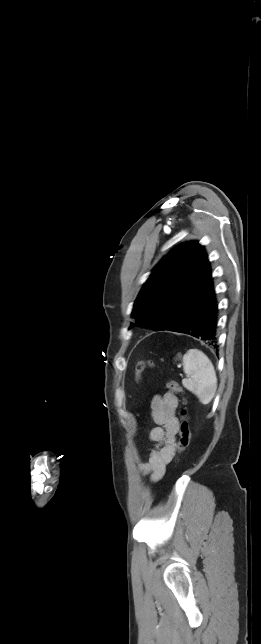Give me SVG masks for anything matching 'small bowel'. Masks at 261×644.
I'll return each instance as SVG.
<instances>
[{"label": "small bowel", "mask_w": 261, "mask_h": 644, "mask_svg": "<svg viewBox=\"0 0 261 644\" xmlns=\"http://www.w3.org/2000/svg\"><path fill=\"white\" fill-rule=\"evenodd\" d=\"M178 398L171 392L155 395L151 401V415L156 426L150 430L149 439L155 443L149 460L139 464L143 474L152 481L159 480L165 473L177 448L179 421L176 415Z\"/></svg>", "instance_id": "c3829d8e"}]
</instances>
